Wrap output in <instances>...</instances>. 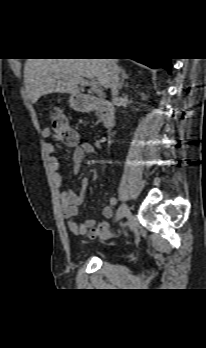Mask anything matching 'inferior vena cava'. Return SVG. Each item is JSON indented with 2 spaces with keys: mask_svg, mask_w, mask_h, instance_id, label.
I'll list each match as a JSON object with an SVG mask.
<instances>
[{
  "mask_svg": "<svg viewBox=\"0 0 206 348\" xmlns=\"http://www.w3.org/2000/svg\"><path fill=\"white\" fill-rule=\"evenodd\" d=\"M109 75H110V88L112 94V102L114 105L118 104L119 98V89H120V78L119 73L120 69L115 65L111 59H109Z\"/></svg>",
  "mask_w": 206,
  "mask_h": 348,
  "instance_id": "602c4592",
  "label": "inferior vena cava"
}]
</instances>
